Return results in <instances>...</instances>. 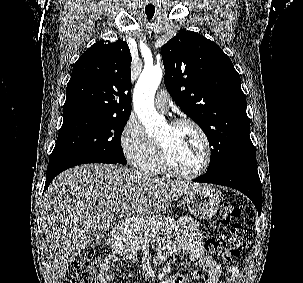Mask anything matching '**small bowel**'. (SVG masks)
I'll return each mask as SVG.
<instances>
[{
    "mask_svg": "<svg viewBox=\"0 0 303 283\" xmlns=\"http://www.w3.org/2000/svg\"><path fill=\"white\" fill-rule=\"evenodd\" d=\"M176 255H188L196 262L203 283H236L240 276L238 267L234 264L227 266L228 277L220 280L221 267L217 261L205 253L202 235L197 231L196 222L189 217H182L176 227L175 240L159 246L155 260L163 262ZM119 261L115 255H108L99 265V283H110L114 276L109 272L110 266ZM179 276H169L162 283H177Z\"/></svg>",
    "mask_w": 303,
    "mask_h": 283,
    "instance_id": "1",
    "label": "small bowel"
}]
</instances>
